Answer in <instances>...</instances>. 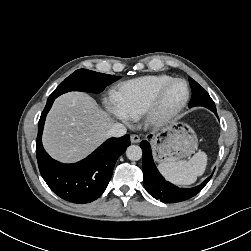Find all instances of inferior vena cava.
Listing matches in <instances>:
<instances>
[{
    "label": "inferior vena cava",
    "instance_id": "602c4592",
    "mask_svg": "<svg viewBox=\"0 0 251 251\" xmlns=\"http://www.w3.org/2000/svg\"><path fill=\"white\" fill-rule=\"evenodd\" d=\"M127 130L123 124L115 123L108 130V137H121L126 134Z\"/></svg>",
    "mask_w": 251,
    "mask_h": 251
}]
</instances>
